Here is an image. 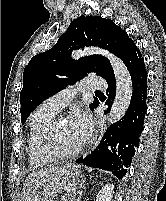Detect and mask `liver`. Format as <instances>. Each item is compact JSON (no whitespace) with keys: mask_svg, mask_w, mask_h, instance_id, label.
I'll return each instance as SVG.
<instances>
[{"mask_svg":"<svg viewBox=\"0 0 166 201\" xmlns=\"http://www.w3.org/2000/svg\"><path fill=\"white\" fill-rule=\"evenodd\" d=\"M57 170L58 167L55 166L29 174L23 183L22 201H33L36 196L37 189Z\"/></svg>","mask_w":166,"mask_h":201,"instance_id":"liver-1","label":"liver"}]
</instances>
